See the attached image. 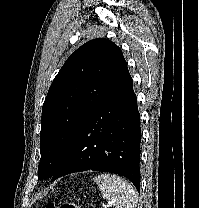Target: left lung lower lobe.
Returning a JSON list of instances; mask_svg holds the SVG:
<instances>
[{
    "label": "left lung lower lobe",
    "mask_w": 199,
    "mask_h": 208,
    "mask_svg": "<svg viewBox=\"0 0 199 208\" xmlns=\"http://www.w3.org/2000/svg\"><path fill=\"white\" fill-rule=\"evenodd\" d=\"M140 141V114L128 74L76 132L51 181L79 171H105L127 177L140 191Z\"/></svg>",
    "instance_id": "1"
}]
</instances>
